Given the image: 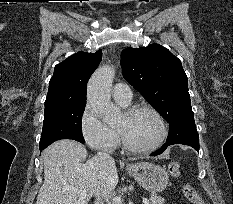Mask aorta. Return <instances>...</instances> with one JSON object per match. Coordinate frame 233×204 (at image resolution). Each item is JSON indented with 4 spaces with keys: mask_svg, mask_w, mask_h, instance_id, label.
Returning a JSON list of instances; mask_svg holds the SVG:
<instances>
[{
    "mask_svg": "<svg viewBox=\"0 0 233 204\" xmlns=\"http://www.w3.org/2000/svg\"><path fill=\"white\" fill-rule=\"evenodd\" d=\"M114 76V67L103 66L93 73L87 86L88 104L105 122L115 121L120 114V109L111 101V86Z\"/></svg>",
    "mask_w": 233,
    "mask_h": 204,
    "instance_id": "aorta-1",
    "label": "aorta"
}]
</instances>
